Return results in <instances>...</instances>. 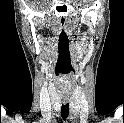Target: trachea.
Returning <instances> with one entry per match:
<instances>
[{"mask_svg":"<svg viewBox=\"0 0 124 123\" xmlns=\"http://www.w3.org/2000/svg\"><path fill=\"white\" fill-rule=\"evenodd\" d=\"M69 115V103L62 104L61 106V117L66 120Z\"/></svg>","mask_w":124,"mask_h":123,"instance_id":"trachea-1","label":"trachea"}]
</instances>
